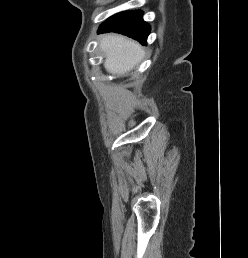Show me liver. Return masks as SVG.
Masks as SVG:
<instances>
[{
    "label": "liver",
    "instance_id": "liver-1",
    "mask_svg": "<svg viewBox=\"0 0 248 258\" xmlns=\"http://www.w3.org/2000/svg\"><path fill=\"white\" fill-rule=\"evenodd\" d=\"M99 47L105 54V69L120 76L132 71L144 55L140 44L118 34L102 36Z\"/></svg>",
    "mask_w": 248,
    "mask_h": 258
}]
</instances>
